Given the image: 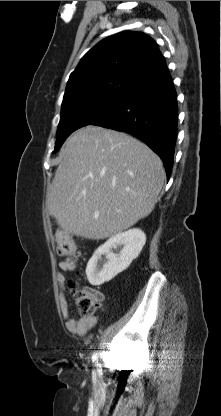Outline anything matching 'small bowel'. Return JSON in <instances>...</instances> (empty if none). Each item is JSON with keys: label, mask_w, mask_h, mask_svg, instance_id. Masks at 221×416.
I'll return each instance as SVG.
<instances>
[{"label": "small bowel", "mask_w": 221, "mask_h": 416, "mask_svg": "<svg viewBox=\"0 0 221 416\" xmlns=\"http://www.w3.org/2000/svg\"><path fill=\"white\" fill-rule=\"evenodd\" d=\"M58 266H59L60 271L57 273L56 278H57V284H58V290H59V303H60V310H61L62 316L66 321V328L72 334L84 336L88 333L89 330H91L96 325L97 317L96 316L79 317V318L71 317V314L69 311V303L66 297V288H65L66 277L64 273L74 271L77 268V263L66 260V261L59 262Z\"/></svg>", "instance_id": "small-bowel-1"}]
</instances>
